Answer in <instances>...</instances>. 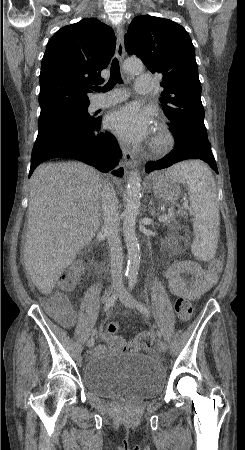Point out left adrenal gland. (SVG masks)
<instances>
[{
  "mask_svg": "<svg viewBox=\"0 0 245 450\" xmlns=\"http://www.w3.org/2000/svg\"><path fill=\"white\" fill-rule=\"evenodd\" d=\"M152 205H153V198H151V200H150L149 210H150L151 215H152V216H155V215H156V209H155V208H152V207H151Z\"/></svg>",
  "mask_w": 245,
  "mask_h": 450,
  "instance_id": "left-adrenal-gland-1",
  "label": "left adrenal gland"
}]
</instances>
